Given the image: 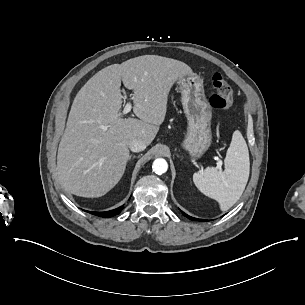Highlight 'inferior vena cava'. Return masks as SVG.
I'll list each match as a JSON object with an SVG mask.
<instances>
[{"instance_id":"obj_1","label":"inferior vena cava","mask_w":305,"mask_h":305,"mask_svg":"<svg viewBox=\"0 0 305 305\" xmlns=\"http://www.w3.org/2000/svg\"><path fill=\"white\" fill-rule=\"evenodd\" d=\"M128 146L133 152H140L146 148V142L138 139L128 141Z\"/></svg>"}]
</instances>
